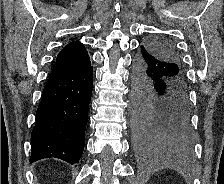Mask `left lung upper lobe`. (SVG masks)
Masks as SVG:
<instances>
[{
    "label": "left lung upper lobe",
    "mask_w": 224,
    "mask_h": 184,
    "mask_svg": "<svg viewBox=\"0 0 224 184\" xmlns=\"http://www.w3.org/2000/svg\"><path fill=\"white\" fill-rule=\"evenodd\" d=\"M148 51L157 59L173 63L181 67L180 56L174 45L165 39H153L145 44Z\"/></svg>",
    "instance_id": "1"
}]
</instances>
